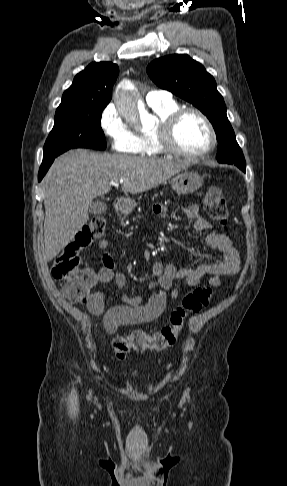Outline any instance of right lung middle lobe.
<instances>
[{
	"instance_id": "obj_1",
	"label": "right lung middle lobe",
	"mask_w": 287,
	"mask_h": 486,
	"mask_svg": "<svg viewBox=\"0 0 287 486\" xmlns=\"http://www.w3.org/2000/svg\"><path fill=\"white\" fill-rule=\"evenodd\" d=\"M107 103L59 106L43 149V160L55 158L72 148L104 150L106 140L100 119Z\"/></svg>"
}]
</instances>
